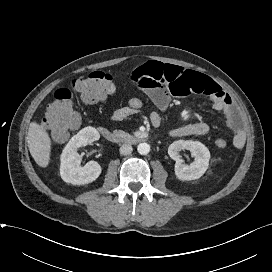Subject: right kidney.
<instances>
[{
	"label": "right kidney",
	"instance_id": "right-kidney-1",
	"mask_svg": "<svg viewBox=\"0 0 272 272\" xmlns=\"http://www.w3.org/2000/svg\"><path fill=\"white\" fill-rule=\"evenodd\" d=\"M100 135L93 127H85L74 135L67 143L61 154L60 175L66 183L84 185L95 181L101 174V166L90 161L81 167V156L77 150L94 141L99 140Z\"/></svg>",
	"mask_w": 272,
	"mask_h": 272
}]
</instances>
